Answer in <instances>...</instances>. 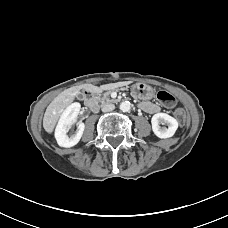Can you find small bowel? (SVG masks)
Masks as SVG:
<instances>
[{
	"instance_id": "small-bowel-1",
	"label": "small bowel",
	"mask_w": 228,
	"mask_h": 228,
	"mask_svg": "<svg viewBox=\"0 0 228 228\" xmlns=\"http://www.w3.org/2000/svg\"><path fill=\"white\" fill-rule=\"evenodd\" d=\"M139 106L143 111L149 114H155L160 111L159 105L151 101L142 102Z\"/></svg>"
}]
</instances>
